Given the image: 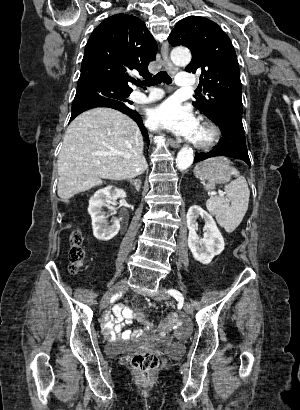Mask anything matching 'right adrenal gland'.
Listing matches in <instances>:
<instances>
[{
  "label": "right adrenal gland",
  "instance_id": "right-adrenal-gland-1",
  "mask_svg": "<svg viewBox=\"0 0 300 410\" xmlns=\"http://www.w3.org/2000/svg\"><path fill=\"white\" fill-rule=\"evenodd\" d=\"M128 181L134 186L137 192L140 191L141 181L139 179H128Z\"/></svg>",
  "mask_w": 300,
  "mask_h": 410
}]
</instances>
